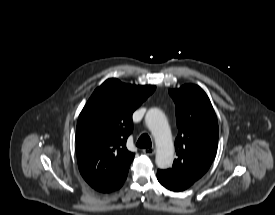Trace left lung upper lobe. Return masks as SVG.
I'll return each mask as SVG.
<instances>
[{"mask_svg": "<svg viewBox=\"0 0 275 215\" xmlns=\"http://www.w3.org/2000/svg\"><path fill=\"white\" fill-rule=\"evenodd\" d=\"M176 104L178 156L167 171L192 183L200 179L212 164L218 145V122L206 93L197 85L187 84L169 90Z\"/></svg>", "mask_w": 275, "mask_h": 215, "instance_id": "left-lung-upper-lobe-1", "label": "left lung upper lobe"}]
</instances>
